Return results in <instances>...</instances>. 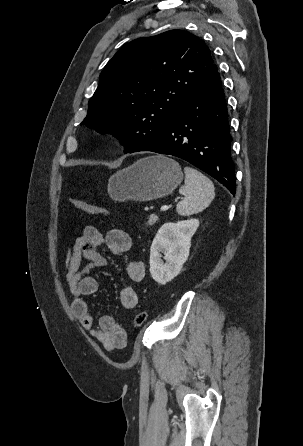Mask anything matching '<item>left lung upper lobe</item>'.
I'll return each mask as SVG.
<instances>
[{"mask_svg": "<svg viewBox=\"0 0 303 446\" xmlns=\"http://www.w3.org/2000/svg\"><path fill=\"white\" fill-rule=\"evenodd\" d=\"M216 71L210 49L189 32L136 40L104 67L82 124L115 134L125 153L135 152L163 132Z\"/></svg>", "mask_w": 303, "mask_h": 446, "instance_id": "1", "label": "left lung upper lobe"}]
</instances>
